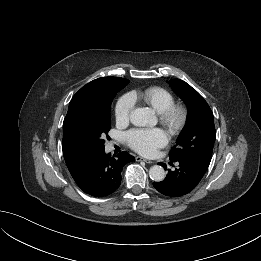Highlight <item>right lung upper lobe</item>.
<instances>
[{"instance_id":"obj_1","label":"right lung upper lobe","mask_w":261,"mask_h":261,"mask_svg":"<svg viewBox=\"0 0 261 261\" xmlns=\"http://www.w3.org/2000/svg\"><path fill=\"white\" fill-rule=\"evenodd\" d=\"M122 79L124 78L101 77L83 86L71 99L65 119L75 110L82 107L87 101L98 97L107 96L112 88ZM64 159L67 165H70L74 161L78 160V158L69 156H64Z\"/></svg>"}]
</instances>
